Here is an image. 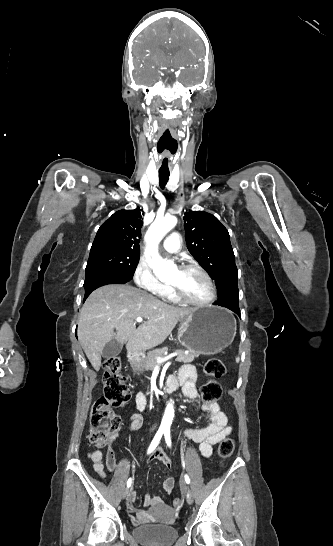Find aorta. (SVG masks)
<instances>
[{
    "label": "aorta",
    "mask_w": 333,
    "mask_h": 546,
    "mask_svg": "<svg viewBox=\"0 0 333 546\" xmlns=\"http://www.w3.org/2000/svg\"><path fill=\"white\" fill-rule=\"evenodd\" d=\"M177 224V219L174 216H165L163 218H157L150 225L145 235V239L148 243L147 252L149 257L147 262L152 268L153 273L161 280L164 281L170 278L176 271L177 267L173 261L164 260L158 253V245L162 238ZM174 417V407L172 403H169L166 407L164 417L162 420V427H170Z\"/></svg>",
    "instance_id": "aorta-1"
}]
</instances>
